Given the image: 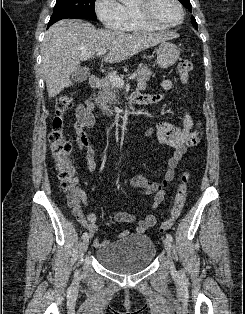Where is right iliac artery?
I'll return each instance as SVG.
<instances>
[{
    "label": "right iliac artery",
    "instance_id": "obj_1",
    "mask_svg": "<svg viewBox=\"0 0 245 314\" xmlns=\"http://www.w3.org/2000/svg\"><path fill=\"white\" fill-rule=\"evenodd\" d=\"M86 237H88V233L84 232L83 235H82V238L85 239Z\"/></svg>",
    "mask_w": 245,
    "mask_h": 314
}]
</instances>
